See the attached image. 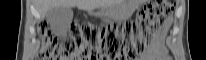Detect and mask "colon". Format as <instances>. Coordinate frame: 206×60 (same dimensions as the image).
Wrapping results in <instances>:
<instances>
[{
  "label": "colon",
  "mask_w": 206,
  "mask_h": 60,
  "mask_svg": "<svg viewBox=\"0 0 206 60\" xmlns=\"http://www.w3.org/2000/svg\"><path fill=\"white\" fill-rule=\"evenodd\" d=\"M175 1H150L141 11L135 23L109 25L97 28L91 25H74L69 37L62 42L53 35L46 21L39 24L41 60H65L69 58L94 60L99 56L95 49L102 42V52L110 60L134 59L145 49L147 36L152 28L164 23L172 14Z\"/></svg>",
  "instance_id": "obj_1"
}]
</instances>
